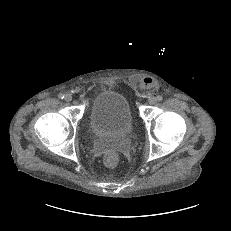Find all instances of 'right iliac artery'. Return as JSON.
Listing matches in <instances>:
<instances>
[{"label": "right iliac artery", "mask_w": 231, "mask_h": 231, "mask_svg": "<svg viewBox=\"0 0 231 231\" xmlns=\"http://www.w3.org/2000/svg\"><path fill=\"white\" fill-rule=\"evenodd\" d=\"M58 97H59L60 99H63L65 96H64V94L60 93V94L58 95Z\"/></svg>", "instance_id": "right-iliac-artery-1"}]
</instances>
